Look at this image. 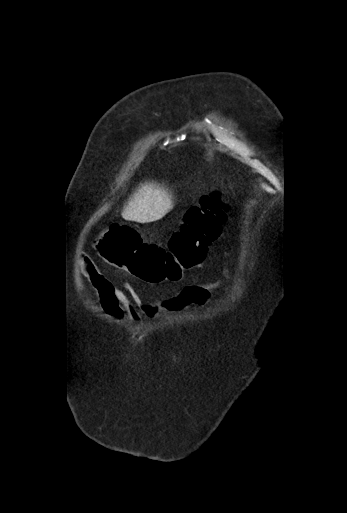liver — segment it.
<instances>
[{
	"label": "liver",
	"mask_w": 347,
	"mask_h": 513,
	"mask_svg": "<svg viewBox=\"0 0 347 513\" xmlns=\"http://www.w3.org/2000/svg\"><path fill=\"white\" fill-rule=\"evenodd\" d=\"M172 208L171 196L163 187L149 184L134 193L128 205L122 212L125 220H131L135 216L156 218L164 215Z\"/></svg>",
	"instance_id": "6515ba94"
}]
</instances>
